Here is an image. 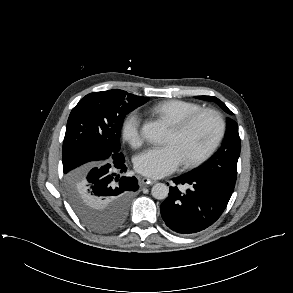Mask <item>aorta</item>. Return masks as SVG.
Wrapping results in <instances>:
<instances>
[{
  "instance_id": "762f6f07",
  "label": "aorta",
  "mask_w": 293,
  "mask_h": 293,
  "mask_svg": "<svg viewBox=\"0 0 293 293\" xmlns=\"http://www.w3.org/2000/svg\"><path fill=\"white\" fill-rule=\"evenodd\" d=\"M167 128L161 121H150L143 124L141 135L148 141L161 143L165 138ZM155 199L163 200L168 197L169 187L164 183H156L151 190Z\"/></svg>"
}]
</instances>
